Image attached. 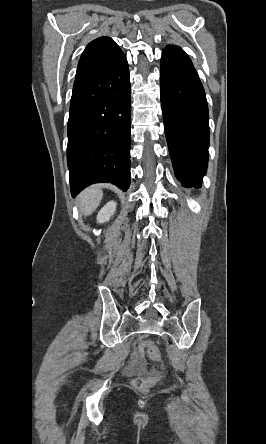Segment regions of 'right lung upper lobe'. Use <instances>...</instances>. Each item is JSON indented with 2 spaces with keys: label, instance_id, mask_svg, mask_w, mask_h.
<instances>
[{
  "label": "right lung upper lobe",
  "instance_id": "obj_1",
  "mask_svg": "<svg viewBox=\"0 0 266 444\" xmlns=\"http://www.w3.org/2000/svg\"><path fill=\"white\" fill-rule=\"evenodd\" d=\"M122 55L119 46L109 37H100L90 42L78 63L73 92L102 75Z\"/></svg>",
  "mask_w": 266,
  "mask_h": 444
}]
</instances>
